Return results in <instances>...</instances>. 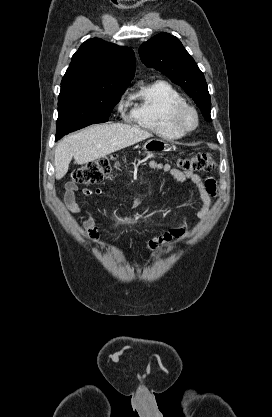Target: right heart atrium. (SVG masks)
<instances>
[{"label":"right heart atrium","mask_w":272,"mask_h":417,"mask_svg":"<svg viewBox=\"0 0 272 417\" xmlns=\"http://www.w3.org/2000/svg\"><path fill=\"white\" fill-rule=\"evenodd\" d=\"M123 107H124V104H123V103H121V104L119 105V109H123Z\"/></svg>","instance_id":"obj_1"}]
</instances>
